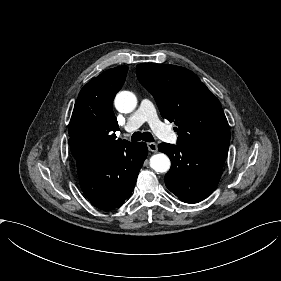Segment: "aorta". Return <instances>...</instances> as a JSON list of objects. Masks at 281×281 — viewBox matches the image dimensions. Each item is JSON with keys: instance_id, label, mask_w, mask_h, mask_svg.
<instances>
[{"instance_id": "aorta-1", "label": "aorta", "mask_w": 281, "mask_h": 281, "mask_svg": "<svg viewBox=\"0 0 281 281\" xmlns=\"http://www.w3.org/2000/svg\"><path fill=\"white\" fill-rule=\"evenodd\" d=\"M114 102L119 112L130 113L136 108L137 98L130 91H121L116 95ZM170 166V159L163 153L154 154L150 158V167L157 173L167 172Z\"/></svg>"}]
</instances>
